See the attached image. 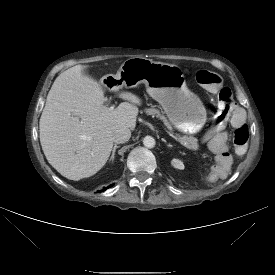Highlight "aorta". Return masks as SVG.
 <instances>
[{"mask_svg":"<svg viewBox=\"0 0 275 275\" xmlns=\"http://www.w3.org/2000/svg\"><path fill=\"white\" fill-rule=\"evenodd\" d=\"M143 144L145 147L147 148H153L156 144L155 142V139L151 136H146L144 139H143Z\"/></svg>","mask_w":275,"mask_h":275,"instance_id":"aorta-1","label":"aorta"}]
</instances>
